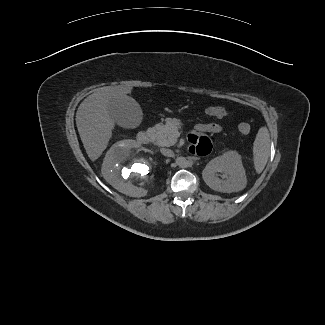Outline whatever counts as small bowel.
<instances>
[{
  "label": "small bowel",
  "mask_w": 325,
  "mask_h": 325,
  "mask_svg": "<svg viewBox=\"0 0 325 325\" xmlns=\"http://www.w3.org/2000/svg\"><path fill=\"white\" fill-rule=\"evenodd\" d=\"M220 128L217 124L209 123V124H197L195 126L196 132H209V133H217ZM189 151L190 153L198 156H205L210 153L212 149V142L206 136L192 134L189 139Z\"/></svg>",
  "instance_id": "c3829d8e"
}]
</instances>
